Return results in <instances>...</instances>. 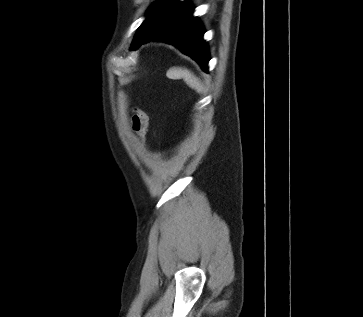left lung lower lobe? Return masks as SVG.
Segmentation results:
<instances>
[{
  "mask_svg": "<svg viewBox=\"0 0 363 317\" xmlns=\"http://www.w3.org/2000/svg\"><path fill=\"white\" fill-rule=\"evenodd\" d=\"M177 1L161 0L157 3L148 28L131 50L151 40L165 41L192 57L207 72L209 52L202 40L203 27L197 18L191 17L193 7L185 1Z\"/></svg>",
  "mask_w": 363,
  "mask_h": 317,
  "instance_id": "1",
  "label": "left lung lower lobe"
}]
</instances>
